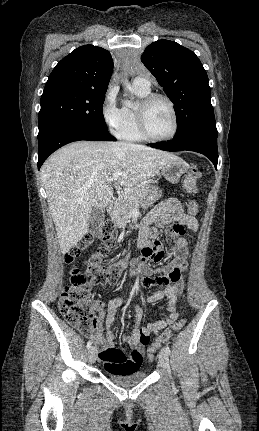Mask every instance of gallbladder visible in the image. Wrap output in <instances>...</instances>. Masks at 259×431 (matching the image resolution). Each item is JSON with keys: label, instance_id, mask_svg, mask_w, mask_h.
I'll use <instances>...</instances> for the list:
<instances>
[{"label": "gallbladder", "instance_id": "1", "mask_svg": "<svg viewBox=\"0 0 259 431\" xmlns=\"http://www.w3.org/2000/svg\"><path fill=\"white\" fill-rule=\"evenodd\" d=\"M104 211L100 208H94L91 212L88 222V232L94 234L104 222Z\"/></svg>", "mask_w": 259, "mask_h": 431}]
</instances>
